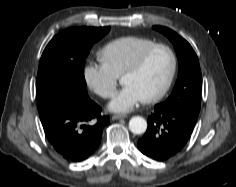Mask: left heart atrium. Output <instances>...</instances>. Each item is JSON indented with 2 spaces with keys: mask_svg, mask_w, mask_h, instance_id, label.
Instances as JSON below:
<instances>
[{
  "mask_svg": "<svg viewBox=\"0 0 236 187\" xmlns=\"http://www.w3.org/2000/svg\"><path fill=\"white\" fill-rule=\"evenodd\" d=\"M141 101H143L141 94L128 85L116 93L108 108L112 112L126 113L134 109Z\"/></svg>",
  "mask_w": 236,
  "mask_h": 187,
  "instance_id": "left-heart-atrium-1",
  "label": "left heart atrium"
}]
</instances>
